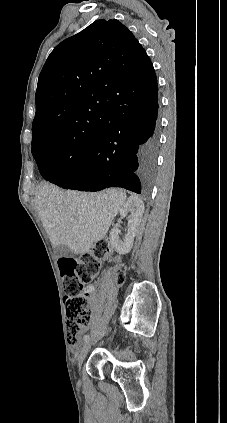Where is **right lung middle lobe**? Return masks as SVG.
Listing matches in <instances>:
<instances>
[{
	"label": "right lung middle lobe",
	"instance_id": "obj_1",
	"mask_svg": "<svg viewBox=\"0 0 227 423\" xmlns=\"http://www.w3.org/2000/svg\"><path fill=\"white\" fill-rule=\"evenodd\" d=\"M93 144L74 147L58 137H44L32 142V155L38 168L49 167L52 176L72 168L79 160L89 155ZM48 180L45 174L42 176Z\"/></svg>",
	"mask_w": 227,
	"mask_h": 423
}]
</instances>
